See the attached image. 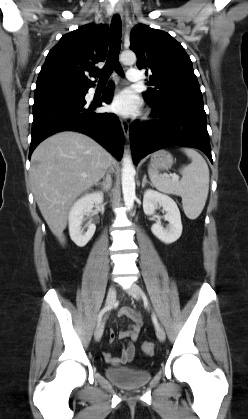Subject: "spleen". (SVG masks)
<instances>
[{
  "mask_svg": "<svg viewBox=\"0 0 248 419\" xmlns=\"http://www.w3.org/2000/svg\"><path fill=\"white\" fill-rule=\"evenodd\" d=\"M183 152L191 159V163L180 170V181L159 174L156 169L149 168L152 184L161 192L181 196L185 215L193 220L202 212L209 191V169L204 158L195 150L183 148Z\"/></svg>",
  "mask_w": 248,
  "mask_h": 419,
  "instance_id": "3e777b00",
  "label": "spleen"
}]
</instances>
